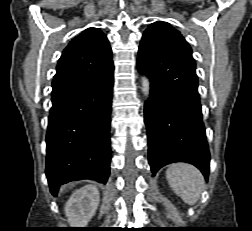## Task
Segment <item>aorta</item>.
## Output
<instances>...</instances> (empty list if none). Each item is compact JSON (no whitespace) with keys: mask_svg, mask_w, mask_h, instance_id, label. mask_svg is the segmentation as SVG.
<instances>
[{"mask_svg":"<svg viewBox=\"0 0 252 231\" xmlns=\"http://www.w3.org/2000/svg\"><path fill=\"white\" fill-rule=\"evenodd\" d=\"M142 89L145 95L148 96L150 91V82L146 77L142 78Z\"/></svg>","mask_w":252,"mask_h":231,"instance_id":"obj_1","label":"aorta"}]
</instances>
